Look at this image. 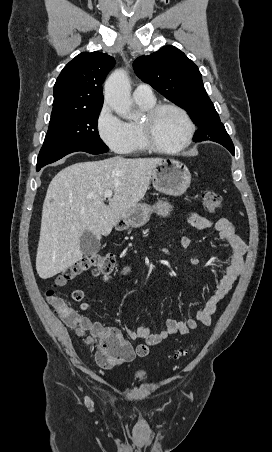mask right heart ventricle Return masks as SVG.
I'll list each match as a JSON object with an SVG mask.
<instances>
[{
    "mask_svg": "<svg viewBox=\"0 0 272 452\" xmlns=\"http://www.w3.org/2000/svg\"><path fill=\"white\" fill-rule=\"evenodd\" d=\"M137 105L143 111L148 110L149 108L155 105L154 101H141L136 100ZM127 129L129 132L128 145L124 151V153H139L146 149H148L143 141L141 131H140V122L139 121H130L126 123Z\"/></svg>",
    "mask_w": 272,
    "mask_h": 452,
    "instance_id": "e07e8e85",
    "label": "right heart ventricle"
}]
</instances>
